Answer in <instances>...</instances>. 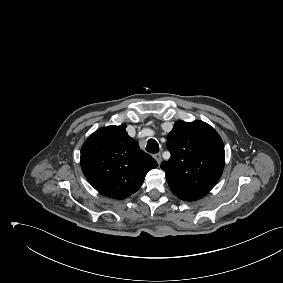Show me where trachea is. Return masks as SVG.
Here are the masks:
<instances>
[{
  "label": "trachea",
  "mask_w": 283,
  "mask_h": 283,
  "mask_svg": "<svg viewBox=\"0 0 283 283\" xmlns=\"http://www.w3.org/2000/svg\"><path fill=\"white\" fill-rule=\"evenodd\" d=\"M146 151L149 153H158L159 152V144L155 139H149L147 146H146Z\"/></svg>",
  "instance_id": "obj_1"
}]
</instances>
